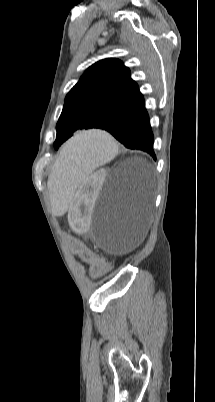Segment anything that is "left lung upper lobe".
Masks as SVG:
<instances>
[{"label":"left lung upper lobe","instance_id":"5c2ea615","mask_svg":"<svg viewBox=\"0 0 215 402\" xmlns=\"http://www.w3.org/2000/svg\"><path fill=\"white\" fill-rule=\"evenodd\" d=\"M130 70L115 58L90 66L66 95L56 125L55 149L79 129L96 128L140 95Z\"/></svg>","mask_w":215,"mask_h":402}]
</instances>
